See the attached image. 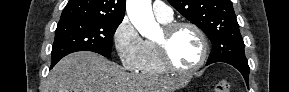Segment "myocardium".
Segmentation results:
<instances>
[{"mask_svg":"<svg viewBox=\"0 0 289 92\" xmlns=\"http://www.w3.org/2000/svg\"><path fill=\"white\" fill-rule=\"evenodd\" d=\"M181 28H190L198 36L201 43V55L199 61L190 68H180L174 64L169 53V42L174 33ZM163 38L155 40V46L158 52L159 59L163 67L172 73L176 74H191L201 69L208 57L209 45L208 40L202 29L195 23L189 21H173L164 25Z\"/></svg>","mask_w":289,"mask_h":92,"instance_id":"f54148a6","label":"myocardium"}]
</instances>
